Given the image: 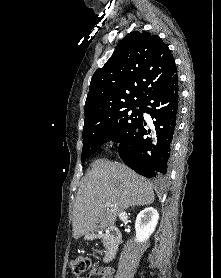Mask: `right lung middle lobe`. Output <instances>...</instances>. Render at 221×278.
<instances>
[{
	"mask_svg": "<svg viewBox=\"0 0 221 278\" xmlns=\"http://www.w3.org/2000/svg\"><path fill=\"white\" fill-rule=\"evenodd\" d=\"M142 118L143 104L135 103L102 118L85 121L82 164L103 143L111 139L121 142Z\"/></svg>",
	"mask_w": 221,
	"mask_h": 278,
	"instance_id": "1",
	"label": "right lung middle lobe"
}]
</instances>
